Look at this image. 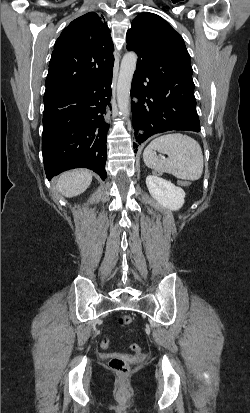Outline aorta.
<instances>
[{"label": "aorta", "instance_id": "1", "mask_svg": "<svg viewBox=\"0 0 250 413\" xmlns=\"http://www.w3.org/2000/svg\"><path fill=\"white\" fill-rule=\"evenodd\" d=\"M136 63L137 55L134 52L126 53L121 61L117 82V103L123 118L130 115V89Z\"/></svg>", "mask_w": 250, "mask_h": 413}]
</instances>
